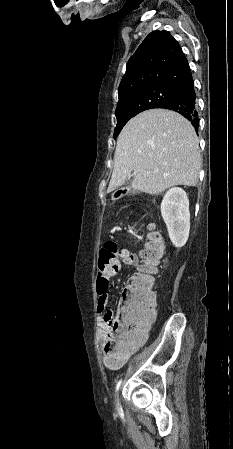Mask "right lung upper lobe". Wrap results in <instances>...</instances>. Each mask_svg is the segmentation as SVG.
Returning <instances> with one entry per match:
<instances>
[{
    "label": "right lung upper lobe",
    "mask_w": 233,
    "mask_h": 449,
    "mask_svg": "<svg viewBox=\"0 0 233 449\" xmlns=\"http://www.w3.org/2000/svg\"><path fill=\"white\" fill-rule=\"evenodd\" d=\"M192 80L188 61L168 31H153L126 65L118 97L156 85L179 87Z\"/></svg>",
    "instance_id": "right-lung-upper-lobe-1"
}]
</instances>
